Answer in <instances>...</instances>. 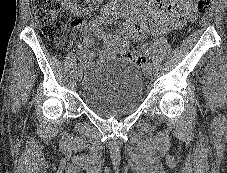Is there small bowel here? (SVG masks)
<instances>
[{
    "label": "small bowel",
    "instance_id": "c3829d8e",
    "mask_svg": "<svg viewBox=\"0 0 227 173\" xmlns=\"http://www.w3.org/2000/svg\"><path fill=\"white\" fill-rule=\"evenodd\" d=\"M196 17L193 0H134L125 14V21L115 34H105L101 25L102 18L89 22L86 31L90 35L105 40L104 58L117 55L125 57L129 51L130 38L143 41L148 34L171 32L181 29ZM94 39L90 36L84 39L81 60L86 67L93 65L91 47ZM144 59V54H140ZM141 63V62H138Z\"/></svg>",
    "mask_w": 227,
    "mask_h": 173
}]
</instances>
